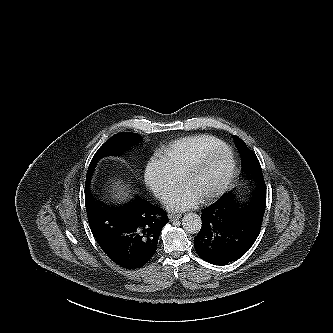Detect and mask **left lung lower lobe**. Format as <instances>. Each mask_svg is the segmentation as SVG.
I'll list each match as a JSON object with an SVG mask.
<instances>
[{"instance_id": "obj_1", "label": "left lung lower lobe", "mask_w": 333, "mask_h": 333, "mask_svg": "<svg viewBox=\"0 0 333 333\" xmlns=\"http://www.w3.org/2000/svg\"><path fill=\"white\" fill-rule=\"evenodd\" d=\"M257 183L248 199L231 191L202 210V227L194 247L203 260L225 265L242 257L254 244L266 208L264 179Z\"/></svg>"}]
</instances>
